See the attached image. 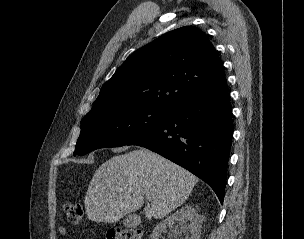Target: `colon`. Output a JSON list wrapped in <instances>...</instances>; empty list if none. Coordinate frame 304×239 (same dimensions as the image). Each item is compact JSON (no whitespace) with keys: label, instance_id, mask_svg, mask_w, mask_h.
I'll use <instances>...</instances> for the list:
<instances>
[{"label":"colon","instance_id":"obj_1","mask_svg":"<svg viewBox=\"0 0 304 239\" xmlns=\"http://www.w3.org/2000/svg\"><path fill=\"white\" fill-rule=\"evenodd\" d=\"M63 208L70 224L79 225L81 223L84 211L80 203L67 201ZM107 239H142V234L135 229L112 228L107 232Z\"/></svg>","mask_w":304,"mask_h":239}]
</instances>
